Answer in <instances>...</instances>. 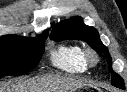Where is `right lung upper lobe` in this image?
Here are the masks:
<instances>
[{"label":"right lung upper lobe","mask_w":127,"mask_h":92,"mask_svg":"<svg viewBox=\"0 0 127 92\" xmlns=\"http://www.w3.org/2000/svg\"><path fill=\"white\" fill-rule=\"evenodd\" d=\"M44 34H48V32H44ZM3 38H11V39H21V38H26V37H21V36H12V35H6V36H3Z\"/></svg>","instance_id":"cb5924a9"}]
</instances>
